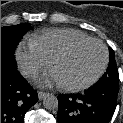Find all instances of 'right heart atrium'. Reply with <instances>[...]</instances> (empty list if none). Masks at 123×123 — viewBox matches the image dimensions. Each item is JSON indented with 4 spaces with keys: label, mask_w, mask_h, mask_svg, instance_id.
I'll return each mask as SVG.
<instances>
[{
    "label": "right heart atrium",
    "mask_w": 123,
    "mask_h": 123,
    "mask_svg": "<svg viewBox=\"0 0 123 123\" xmlns=\"http://www.w3.org/2000/svg\"><path fill=\"white\" fill-rule=\"evenodd\" d=\"M17 64L27 78H35L49 65L50 61L35 47L21 44L16 50Z\"/></svg>",
    "instance_id": "right-heart-atrium-1"
}]
</instances>
